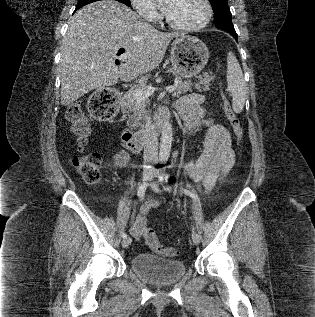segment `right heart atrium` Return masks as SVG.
Returning <instances> with one entry per match:
<instances>
[{"mask_svg":"<svg viewBox=\"0 0 315 317\" xmlns=\"http://www.w3.org/2000/svg\"><path fill=\"white\" fill-rule=\"evenodd\" d=\"M137 13L148 21H156L159 14L151 0H131Z\"/></svg>","mask_w":315,"mask_h":317,"instance_id":"obj_1","label":"right heart atrium"}]
</instances>
